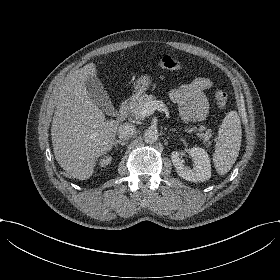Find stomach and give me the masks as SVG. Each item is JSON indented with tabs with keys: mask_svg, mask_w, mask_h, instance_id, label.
<instances>
[{
	"mask_svg": "<svg viewBox=\"0 0 280 280\" xmlns=\"http://www.w3.org/2000/svg\"><path fill=\"white\" fill-rule=\"evenodd\" d=\"M149 86V79L147 77H142L138 82H137V95H140L144 90L147 89Z\"/></svg>",
	"mask_w": 280,
	"mask_h": 280,
	"instance_id": "obj_1",
	"label": "stomach"
}]
</instances>
